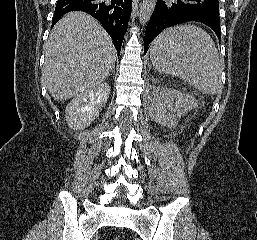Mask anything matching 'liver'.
Returning a JSON list of instances; mask_svg holds the SVG:
<instances>
[{"instance_id":"6515ba94","label":"liver","mask_w":257,"mask_h":240,"mask_svg":"<svg viewBox=\"0 0 257 240\" xmlns=\"http://www.w3.org/2000/svg\"><path fill=\"white\" fill-rule=\"evenodd\" d=\"M116 50L90 15L71 12L54 26L45 45L42 77L55 100L64 101L100 85L114 68Z\"/></svg>"}]
</instances>
